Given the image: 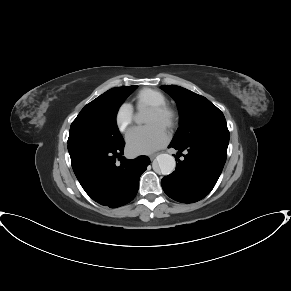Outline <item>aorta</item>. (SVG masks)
Here are the masks:
<instances>
[{"mask_svg": "<svg viewBox=\"0 0 291 291\" xmlns=\"http://www.w3.org/2000/svg\"><path fill=\"white\" fill-rule=\"evenodd\" d=\"M145 112L139 111L134 120L137 124H142L145 122ZM156 163L163 175H169L175 170V159L172 155L169 154H160L156 157Z\"/></svg>", "mask_w": 291, "mask_h": 291, "instance_id": "obj_1", "label": "aorta"}]
</instances>
